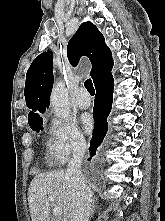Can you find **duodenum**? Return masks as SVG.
<instances>
[{
  "instance_id": "duodenum-1",
  "label": "duodenum",
  "mask_w": 165,
  "mask_h": 221,
  "mask_svg": "<svg viewBox=\"0 0 165 221\" xmlns=\"http://www.w3.org/2000/svg\"><path fill=\"white\" fill-rule=\"evenodd\" d=\"M46 221H57V220H55V219H47Z\"/></svg>"
}]
</instances>
